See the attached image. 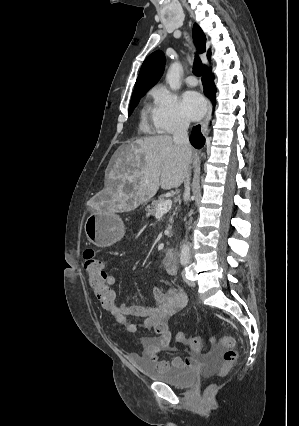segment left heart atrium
<instances>
[{"instance_id":"39dd6f15","label":"left heart atrium","mask_w":299,"mask_h":426,"mask_svg":"<svg viewBox=\"0 0 299 426\" xmlns=\"http://www.w3.org/2000/svg\"><path fill=\"white\" fill-rule=\"evenodd\" d=\"M183 108L187 118L196 121L204 115L206 103L198 92L187 91L183 95Z\"/></svg>"}]
</instances>
